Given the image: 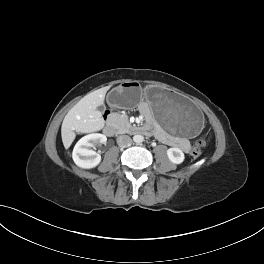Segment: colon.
<instances>
[{"mask_svg": "<svg viewBox=\"0 0 264 264\" xmlns=\"http://www.w3.org/2000/svg\"><path fill=\"white\" fill-rule=\"evenodd\" d=\"M205 146V141L203 138H198L195 142H194V145H193V148L191 150V154L194 156V157H198L201 155L202 151H203V148Z\"/></svg>", "mask_w": 264, "mask_h": 264, "instance_id": "obj_1", "label": "colon"}]
</instances>
